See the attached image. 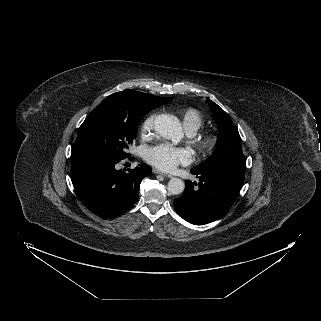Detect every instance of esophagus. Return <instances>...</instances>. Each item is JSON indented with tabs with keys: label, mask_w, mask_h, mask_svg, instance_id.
Listing matches in <instances>:
<instances>
[{
	"label": "esophagus",
	"mask_w": 321,
	"mask_h": 321,
	"mask_svg": "<svg viewBox=\"0 0 321 321\" xmlns=\"http://www.w3.org/2000/svg\"><path fill=\"white\" fill-rule=\"evenodd\" d=\"M152 171H153V173L162 175V176H164V177H171L170 175H167L166 173H163V172H161L160 170H158V169H156V168H153Z\"/></svg>",
	"instance_id": "esophagus-1"
}]
</instances>
